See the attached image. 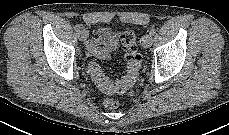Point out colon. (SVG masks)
Instances as JSON below:
<instances>
[{
	"instance_id": "5ec220e1",
	"label": "colon",
	"mask_w": 229,
	"mask_h": 135,
	"mask_svg": "<svg viewBox=\"0 0 229 135\" xmlns=\"http://www.w3.org/2000/svg\"><path fill=\"white\" fill-rule=\"evenodd\" d=\"M121 43L127 64L126 75L121 80H110L96 62H91L88 66L93 81L107 95L124 93L135 82L140 72L142 57L138 52L135 33L132 30L123 32ZM103 104L108 109H116L119 106L118 101L111 97L105 98Z\"/></svg>"
}]
</instances>
